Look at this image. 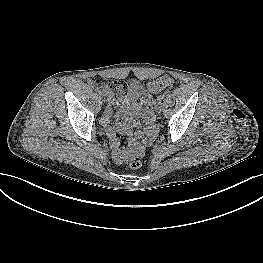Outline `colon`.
Segmentation results:
<instances>
[{"label": "colon", "mask_w": 263, "mask_h": 263, "mask_svg": "<svg viewBox=\"0 0 263 263\" xmlns=\"http://www.w3.org/2000/svg\"><path fill=\"white\" fill-rule=\"evenodd\" d=\"M151 86L152 88L155 89V91H159V90H163L165 88L168 87V83L164 80H157V81H153L151 83ZM151 105L149 104V107H147V109L149 110L148 112L150 113L151 112ZM143 152H144V147L143 146H139L138 147V151H137V158H131L130 160V167L132 169H138L141 167L142 165V162L141 160L139 159L140 157H142L143 155Z\"/></svg>", "instance_id": "1"}]
</instances>
